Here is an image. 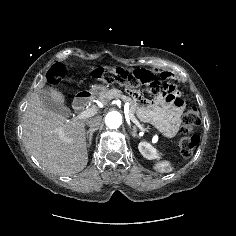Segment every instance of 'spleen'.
<instances>
[{
  "instance_id": "1",
  "label": "spleen",
  "mask_w": 236,
  "mask_h": 236,
  "mask_svg": "<svg viewBox=\"0 0 236 236\" xmlns=\"http://www.w3.org/2000/svg\"><path fill=\"white\" fill-rule=\"evenodd\" d=\"M154 169L159 172H171L174 168L171 166L169 161H160L154 165Z\"/></svg>"
}]
</instances>
